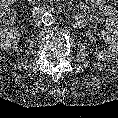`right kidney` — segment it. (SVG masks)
Listing matches in <instances>:
<instances>
[{
  "label": "right kidney",
  "instance_id": "ca27d5eb",
  "mask_svg": "<svg viewBox=\"0 0 118 118\" xmlns=\"http://www.w3.org/2000/svg\"><path fill=\"white\" fill-rule=\"evenodd\" d=\"M21 33L17 28L3 29L0 31V48H11L17 41H19Z\"/></svg>",
  "mask_w": 118,
  "mask_h": 118
}]
</instances>
